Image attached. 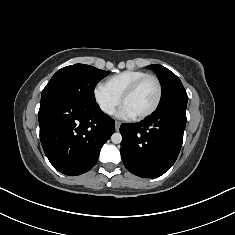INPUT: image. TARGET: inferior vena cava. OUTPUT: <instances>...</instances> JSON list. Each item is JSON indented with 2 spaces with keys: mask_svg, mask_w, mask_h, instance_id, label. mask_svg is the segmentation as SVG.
I'll return each mask as SVG.
<instances>
[{
  "mask_svg": "<svg viewBox=\"0 0 235 235\" xmlns=\"http://www.w3.org/2000/svg\"><path fill=\"white\" fill-rule=\"evenodd\" d=\"M104 111L108 114H113L115 112V108L112 106H107L104 108Z\"/></svg>",
  "mask_w": 235,
  "mask_h": 235,
  "instance_id": "inferior-vena-cava-1",
  "label": "inferior vena cava"
}]
</instances>
